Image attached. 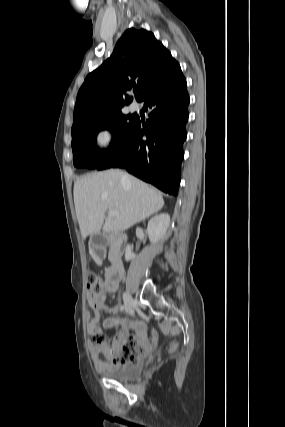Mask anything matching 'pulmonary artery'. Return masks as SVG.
I'll use <instances>...</instances> for the list:
<instances>
[{
	"label": "pulmonary artery",
	"instance_id": "e3ab8cb5",
	"mask_svg": "<svg viewBox=\"0 0 285 427\" xmlns=\"http://www.w3.org/2000/svg\"><path fill=\"white\" fill-rule=\"evenodd\" d=\"M129 110H130L131 112H135V111H137V110H138V104H136L135 102L131 103V104L129 105Z\"/></svg>",
	"mask_w": 285,
	"mask_h": 427
}]
</instances>
